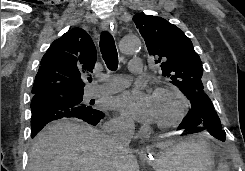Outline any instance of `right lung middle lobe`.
<instances>
[{
  "mask_svg": "<svg viewBox=\"0 0 245 171\" xmlns=\"http://www.w3.org/2000/svg\"><path fill=\"white\" fill-rule=\"evenodd\" d=\"M82 97H83V94L82 95H77V96L74 97L75 103L77 105H79V106L84 105L83 103H81L82 102ZM84 106H87V105H84Z\"/></svg>",
  "mask_w": 245,
  "mask_h": 171,
  "instance_id": "obj_1",
  "label": "right lung middle lobe"
}]
</instances>
